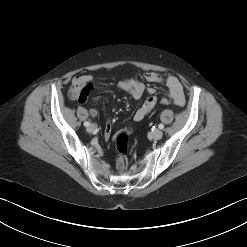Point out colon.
Instances as JSON below:
<instances>
[{
  "instance_id": "obj_1",
  "label": "colon",
  "mask_w": 247,
  "mask_h": 247,
  "mask_svg": "<svg viewBox=\"0 0 247 247\" xmlns=\"http://www.w3.org/2000/svg\"><path fill=\"white\" fill-rule=\"evenodd\" d=\"M89 93V88H83L81 90H75L71 87L70 89V95L71 97L77 99L78 101H85L86 97ZM160 104L162 106H169L172 104V101L167 98H162L160 100ZM128 146H129V138L128 134L126 132H121L118 134L116 138V149L118 152V165L120 167L124 166L126 161V155L128 152Z\"/></svg>"
}]
</instances>
